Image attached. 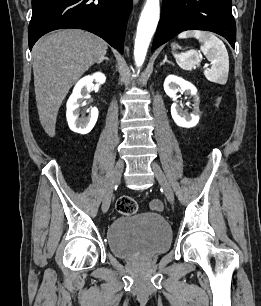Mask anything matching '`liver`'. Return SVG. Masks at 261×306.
<instances>
[{
	"label": "liver",
	"instance_id": "1",
	"mask_svg": "<svg viewBox=\"0 0 261 306\" xmlns=\"http://www.w3.org/2000/svg\"><path fill=\"white\" fill-rule=\"evenodd\" d=\"M107 43L80 30H60L40 38L33 47V74L40 123L53 137L59 108L72 85L103 59Z\"/></svg>",
	"mask_w": 261,
	"mask_h": 306
}]
</instances>
